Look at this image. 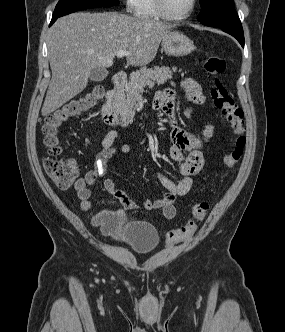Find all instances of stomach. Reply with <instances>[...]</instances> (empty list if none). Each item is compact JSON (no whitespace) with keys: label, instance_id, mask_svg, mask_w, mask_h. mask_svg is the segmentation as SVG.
I'll return each mask as SVG.
<instances>
[{"label":"stomach","instance_id":"0dacf381","mask_svg":"<svg viewBox=\"0 0 285 332\" xmlns=\"http://www.w3.org/2000/svg\"><path fill=\"white\" fill-rule=\"evenodd\" d=\"M162 48L169 55L181 57L190 54L194 50V44L183 33L170 31L162 41Z\"/></svg>","mask_w":285,"mask_h":332}]
</instances>
